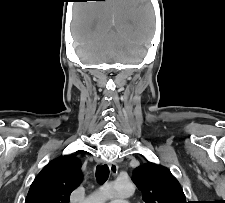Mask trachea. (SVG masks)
<instances>
[{"instance_id":"3493384b","label":"trachea","mask_w":225,"mask_h":203,"mask_svg":"<svg viewBox=\"0 0 225 203\" xmlns=\"http://www.w3.org/2000/svg\"><path fill=\"white\" fill-rule=\"evenodd\" d=\"M109 177V168L106 164L96 167V179L99 184H104Z\"/></svg>"}]
</instances>
